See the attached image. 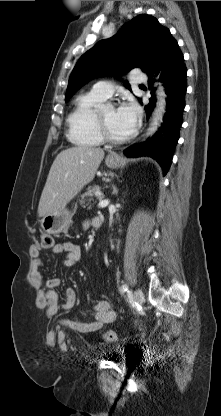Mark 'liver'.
I'll return each mask as SVG.
<instances>
[{
  "mask_svg": "<svg viewBox=\"0 0 221 416\" xmlns=\"http://www.w3.org/2000/svg\"><path fill=\"white\" fill-rule=\"evenodd\" d=\"M101 148L75 146L55 158L38 205L40 217L51 215L65 206L91 182L104 158Z\"/></svg>",
  "mask_w": 221,
  "mask_h": 416,
  "instance_id": "1",
  "label": "liver"
}]
</instances>
